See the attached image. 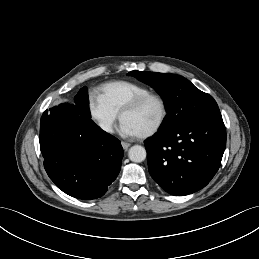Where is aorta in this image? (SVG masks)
Wrapping results in <instances>:
<instances>
[{
    "mask_svg": "<svg viewBox=\"0 0 259 259\" xmlns=\"http://www.w3.org/2000/svg\"><path fill=\"white\" fill-rule=\"evenodd\" d=\"M146 150L140 145H134L129 149L128 156L129 159L133 162L140 163L146 158Z\"/></svg>",
    "mask_w": 259,
    "mask_h": 259,
    "instance_id": "762f6f07",
    "label": "aorta"
}]
</instances>
